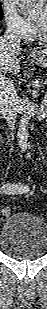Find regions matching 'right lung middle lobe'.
Instances as JSON below:
<instances>
[{
    "label": "right lung middle lobe",
    "instance_id": "dd1d6c3e",
    "mask_svg": "<svg viewBox=\"0 0 47 309\" xmlns=\"http://www.w3.org/2000/svg\"><path fill=\"white\" fill-rule=\"evenodd\" d=\"M1 7H0V20L2 19V13H1Z\"/></svg>",
    "mask_w": 47,
    "mask_h": 309
}]
</instances>
